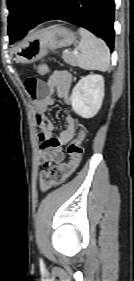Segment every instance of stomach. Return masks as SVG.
<instances>
[{"mask_svg":"<svg viewBox=\"0 0 134 281\" xmlns=\"http://www.w3.org/2000/svg\"><path fill=\"white\" fill-rule=\"evenodd\" d=\"M75 34L64 27L53 26L29 36L16 53V59L23 64H30L44 57L48 51L72 45Z\"/></svg>","mask_w":134,"mask_h":281,"instance_id":"1","label":"stomach"}]
</instances>
